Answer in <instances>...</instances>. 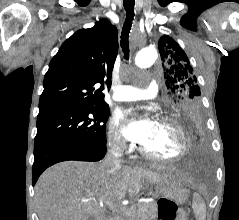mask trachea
I'll use <instances>...</instances> for the list:
<instances>
[{"mask_svg": "<svg viewBox=\"0 0 239 220\" xmlns=\"http://www.w3.org/2000/svg\"><path fill=\"white\" fill-rule=\"evenodd\" d=\"M134 4L135 0H123V6L126 11V19L121 32V47L124 52V58L129 60V32L131 30L132 21L134 18Z\"/></svg>", "mask_w": 239, "mask_h": 220, "instance_id": "trachea-1", "label": "trachea"}]
</instances>
